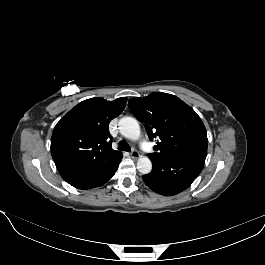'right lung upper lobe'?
Wrapping results in <instances>:
<instances>
[{"instance_id": "right-lung-upper-lobe-1", "label": "right lung upper lobe", "mask_w": 265, "mask_h": 265, "mask_svg": "<svg viewBox=\"0 0 265 265\" xmlns=\"http://www.w3.org/2000/svg\"><path fill=\"white\" fill-rule=\"evenodd\" d=\"M127 98H91L71 109L55 126L51 154L57 169L86 163H105L121 156L111 148L109 122L120 115Z\"/></svg>"}]
</instances>
